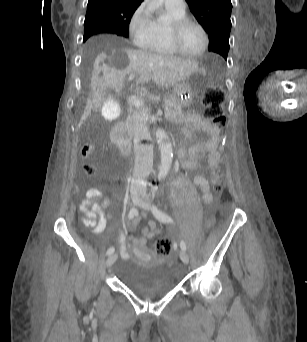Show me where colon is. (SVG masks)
I'll return each mask as SVG.
<instances>
[{"label": "colon", "instance_id": "1", "mask_svg": "<svg viewBox=\"0 0 307 342\" xmlns=\"http://www.w3.org/2000/svg\"><path fill=\"white\" fill-rule=\"evenodd\" d=\"M225 87H207L203 99L204 114L206 119L212 122L218 128H224L227 125V117L223 110ZM81 153L85 157H90L93 148L90 144L83 146ZM87 176L94 174V165L90 162L82 167ZM210 175L213 188L216 192H222V170L217 164L210 165ZM172 250L171 241L167 237H161L155 244V253L159 257H168Z\"/></svg>", "mask_w": 307, "mask_h": 342}]
</instances>
